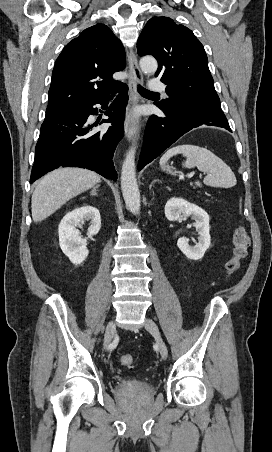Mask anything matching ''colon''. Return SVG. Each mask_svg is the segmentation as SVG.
Returning <instances> with one entry per match:
<instances>
[{"label":"colon","instance_id":"obj_1","mask_svg":"<svg viewBox=\"0 0 272 452\" xmlns=\"http://www.w3.org/2000/svg\"><path fill=\"white\" fill-rule=\"evenodd\" d=\"M249 236L244 227L239 226L233 234V250L230 259L226 263V272L233 275L240 268L241 261L246 257L249 247ZM119 362L126 367H132L134 358L131 354H122Z\"/></svg>","mask_w":272,"mask_h":452}]
</instances>
